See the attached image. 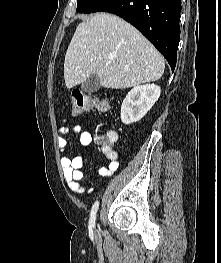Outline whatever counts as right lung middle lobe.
I'll use <instances>...</instances> for the list:
<instances>
[{"label": "right lung middle lobe", "mask_w": 221, "mask_h": 263, "mask_svg": "<svg viewBox=\"0 0 221 263\" xmlns=\"http://www.w3.org/2000/svg\"><path fill=\"white\" fill-rule=\"evenodd\" d=\"M104 0H77V12L91 13L93 12Z\"/></svg>", "instance_id": "1"}]
</instances>
